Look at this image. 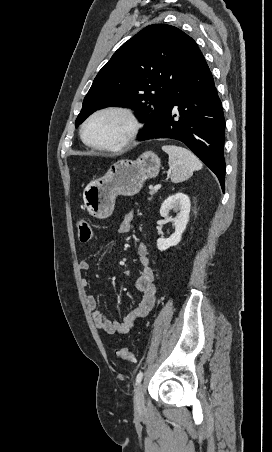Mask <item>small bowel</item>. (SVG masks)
I'll list each match as a JSON object with an SVG mask.
<instances>
[{
	"instance_id": "obj_1",
	"label": "small bowel",
	"mask_w": 272,
	"mask_h": 452,
	"mask_svg": "<svg viewBox=\"0 0 272 452\" xmlns=\"http://www.w3.org/2000/svg\"><path fill=\"white\" fill-rule=\"evenodd\" d=\"M133 220V212H126L119 224L118 232L120 234L129 233L132 229ZM108 243L112 247L116 246V240L114 239H109ZM136 252L138 262L141 266V272L135 280V287L141 293L142 297L140 303L127 312L122 321L108 319L104 313L98 310L96 298L91 294L87 297V306L92 312L95 327L108 335H124L128 333L136 322L147 316L154 307L157 290L154 284V271L150 266L146 245L142 242L138 243ZM78 266L80 270L87 271L90 268V263L87 260H82ZM81 283L84 287L90 285L88 278H82Z\"/></svg>"
}]
</instances>
